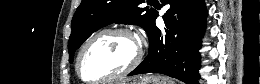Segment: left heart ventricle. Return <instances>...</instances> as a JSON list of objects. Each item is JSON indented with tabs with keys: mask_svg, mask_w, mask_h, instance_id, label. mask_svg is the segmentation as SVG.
<instances>
[{
	"mask_svg": "<svg viewBox=\"0 0 260 84\" xmlns=\"http://www.w3.org/2000/svg\"><path fill=\"white\" fill-rule=\"evenodd\" d=\"M136 51V43L125 35H101L86 50L81 73L85 79L91 81L119 73L132 62Z\"/></svg>",
	"mask_w": 260,
	"mask_h": 84,
	"instance_id": "1",
	"label": "left heart ventricle"
}]
</instances>
